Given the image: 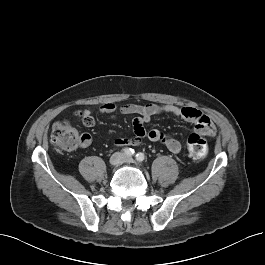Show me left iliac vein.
<instances>
[{
  "instance_id": "left-iliac-vein-1",
  "label": "left iliac vein",
  "mask_w": 265,
  "mask_h": 265,
  "mask_svg": "<svg viewBox=\"0 0 265 265\" xmlns=\"http://www.w3.org/2000/svg\"><path fill=\"white\" fill-rule=\"evenodd\" d=\"M124 163H132L133 162V158L130 156H124L123 160Z\"/></svg>"
}]
</instances>
